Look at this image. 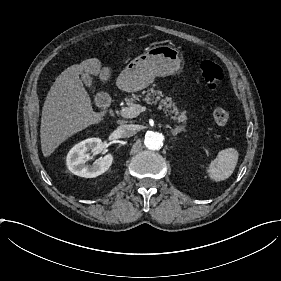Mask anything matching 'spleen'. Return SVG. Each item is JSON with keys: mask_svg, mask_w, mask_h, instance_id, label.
Wrapping results in <instances>:
<instances>
[{"mask_svg": "<svg viewBox=\"0 0 281 281\" xmlns=\"http://www.w3.org/2000/svg\"><path fill=\"white\" fill-rule=\"evenodd\" d=\"M238 156L239 154L234 148L220 151L209 166L210 178L216 182L229 178L236 167Z\"/></svg>", "mask_w": 281, "mask_h": 281, "instance_id": "1", "label": "spleen"}]
</instances>
